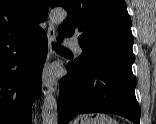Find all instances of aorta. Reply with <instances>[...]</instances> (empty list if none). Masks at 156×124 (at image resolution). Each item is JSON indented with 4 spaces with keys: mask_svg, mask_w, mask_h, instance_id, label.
<instances>
[{
    "mask_svg": "<svg viewBox=\"0 0 156 124\" xmlns=\"http://www.w3.org/2000/svg\"><path fill=\"white\" fill-rule=\"evenodd\" d=\"M67 17V12L62 8H55L49 14L50 21L54 24H61ZM42 123L57 124L58 110L57 101L52 94H47L42 105Z\"/></svg>",
    "mask_w": 156,
    "mask_h": 124,
    "instance_id": "obj_1",
    "label": "aorta"
}]
</instances>
